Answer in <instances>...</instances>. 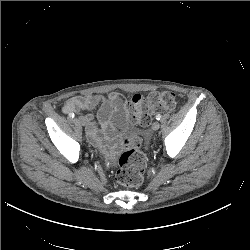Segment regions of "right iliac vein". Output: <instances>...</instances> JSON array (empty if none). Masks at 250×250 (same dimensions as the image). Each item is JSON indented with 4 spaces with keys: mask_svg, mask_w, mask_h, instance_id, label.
Here are the masks:
<instances>
[{
    "mask_svg": "<svg viewBox=\"0 0 250 250\" xmlns=\"http://www.w3.org/2000/svg\"><path fill=\"white\" fill-rule=\"evenodd\" d=\"M82 126H85L86 122L85 119L83 117H79L76 119Z\"/></svg>",
    "mask_w": 250,
    "mask_h": 250,
    "instance_id": "1",
    "label": "right iliac vein"
}]
</instances>
